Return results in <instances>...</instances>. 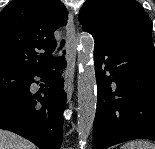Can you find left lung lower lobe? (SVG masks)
<instances>
[{"label":"left lung lower lobe","mask_w":155,"mask_h":149,"mask_svg":"<svg viewBox=\"0 0 155 149\" xmlns=\"http://www.w3.org/2000/svg\"><path fill=\"white\" fill-rule=\"evenodd\" d=\"M94 62L98 100L93 149L133 139L155 140L152 42L95 45Z\"/></svg>","instance_id":"0a47b994"}]
</instances>
